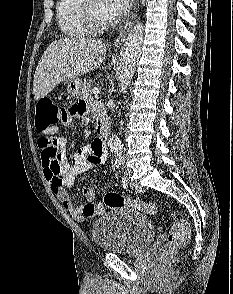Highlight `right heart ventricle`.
Masks as SVG:
<instances>
[{"label":"right heart ventricle","mask_w":233,"mask_h":294,"mask_svg":"<svg viewBox=\"0 0 233 294\" xmlns=\"http://www.w3.org/2000/svg\"><path fill=\"white\" fill-rule=\"evenodd\" d=\"M85 0H59L57 4V21L61 32L74 39L88 37L92 34L83 16Z\"/></svg>","instance_id":"right-heart-ventricle-1"}]
</instances>
